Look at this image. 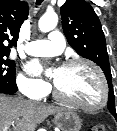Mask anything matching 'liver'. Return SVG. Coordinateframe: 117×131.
Here are the masks:
<instances>
[{"instance_id":"obj_1","label":"liver","mask_w":117,"mask_h":131,"mask_svg":"<svg viewBox=\"0 0 117 131\" xmlns=\"http://www.w3.org/2000/svg\"><path fill=\"white\" fill-rule=\"evenodd\" d=\"M62 111L65 109L39 105L0 94V131L14 122V131H35L37 125L49 115Z\"/></svg>"}]
</instances>
